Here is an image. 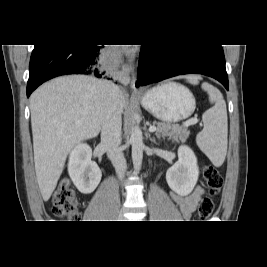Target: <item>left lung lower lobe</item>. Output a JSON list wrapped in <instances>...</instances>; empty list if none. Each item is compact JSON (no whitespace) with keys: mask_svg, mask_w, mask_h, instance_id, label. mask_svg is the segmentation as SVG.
Segmentation results:
<instances>
[{"mask_svg":"<svg viewBox=\"0 0 267 267\" xmlns=\"http://www.w3.org/2000/svg\"><path fill=\"white\" fill-rule=\"evenodd\" d=\"M196 73L217 79L228 90V76L221 45H142L136 86L173 76Z\"/></svg>","mask_w":267,"mask_h":267,"instance_id":"left-lung-lower-lobe-1","label":"left lung lower lobe"}]
</instances>
